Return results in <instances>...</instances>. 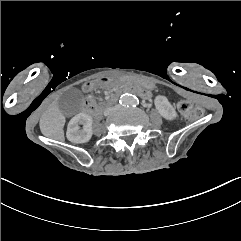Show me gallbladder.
<instances>
[{"label":"gallbladder","instance_id":"bac80fb5","mask_svg":"<svg viewBox=\"0 0 241 241\" xmlns=\"http://www.w3.org/2000/svg\"><path fill=\"white\" fill-rule=\"evenodd\" d=\"M82 93L76 89H70L59 99V107L62 114L66 117L77 115L82 106Z\"/></svg>","mask_w":241,"mask_h":241}]
</instances>
